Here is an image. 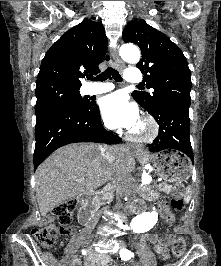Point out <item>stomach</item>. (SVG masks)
Instances as JSON below:
<instances>
[{"label":"stomach","mask_w":221,"mask_h":266,"mask_svg":"<svg viewBox=\"0 0 221 266\" xmlns=\"http://www.w3.org/2000/svg\"><path fill=\"white\" fill-rule=\"evenodd\" d=\"M155 167L165 181L177 184L186 181L192 171L191 162L177 151L157 153Z\"/></svg>","instance_id":"0dacf381"}]
</instances>
